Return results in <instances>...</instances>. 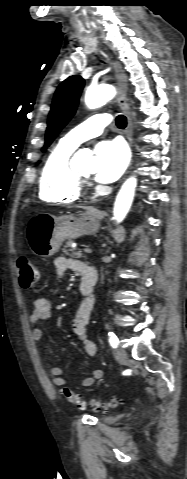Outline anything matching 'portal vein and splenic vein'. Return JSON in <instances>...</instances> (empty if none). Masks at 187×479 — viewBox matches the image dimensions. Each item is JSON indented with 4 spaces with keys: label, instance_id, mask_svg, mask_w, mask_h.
I'll use <instances>...</instances> for the list:
<instances>
[{
    "label": "portal vein and splenic vein",
    "instance_id": "portal-vein-and-splenic-vein-1",
    "mask_svg": "<svg viewBox=\"0 0 187 479\" xmlns=\"http://www.w3.org/2000/svg\"><path fill=\"white\" fill-rule=\"evenodd\" d=\"M83 251H84L85 253H91V252H92V250L89 249V248H85V249H83Z\"/></svg>",
    "mask_w": 187,
    "mask_h": 479
}]
</instances>
